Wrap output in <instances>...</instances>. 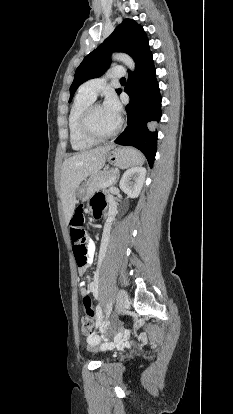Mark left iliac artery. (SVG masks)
Instances as JSON below:
<instances>
[{
	"instance_id": "left-iliac-artery-1",
	"label": "left iliac artery",
	"mask_w": 233,
	"mask_h": 414,
	"mask_svg": "<svg viewBox=\"0 0 233 414\" xmlns=\"http://www.w3.org/2000/svg\"><path fill=\"white\" fill-rule=\"evenodd\" d=\"M96 311H97V321L99 323L101 321V319H102V310H101V307L98 306L96 308ZM111 311H112V301H110L109 304H108V306H107L106 317H109L110 316Z\"/></svg>"
}]
</instances>
